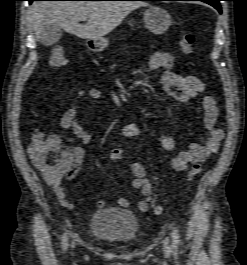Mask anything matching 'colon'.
<instances>
[{"instance_id":"1","label":"colon","mask_w":247,"mask_h":265,"mask_svg":"<svg viewBox=\"0 0 247 265\" xmlns=\"http://www.w3.org/2000/svg\"><path fill=\"white\" fill-rule=\"evenodd\" d=\"M195 44V36L191 33L184 34L179 45L184 54H191ZM65 53L61 47H56L52 50L50 56V65L54 68H59L65 65ZM28 154L33 161L47 173L53 176L65 175L71 165V159L62 148L61 144L51 136H44L37 132L34 134L31 143L28 145ZM123 155L121 148H113L109 153V159L116 161ZM201 171L199 163H194L191 167L188 176L190 179L196 177ZM154 211L157 214L163 213L162 206L154 204Z\"/></svg>"}]
</instances>
